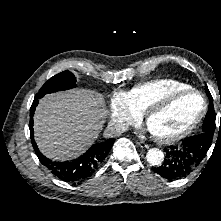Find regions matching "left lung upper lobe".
I'll use <instances>...</instances> for the list:
<instances>
[{"mask_svg":"<svg viewBox=\"0 0 221 221\" xmlns=\"http://www.w3.org/2000/svg\"><path fill=\"white\" fill-rule=\"evenodd\" d=\"M206 92L208 96L210 97L208 112L206 114V117L204 119L203 126H202L203 133L197 136H198V139L207 141L209 143V146H211V142H212L215 127H216V124H215L216 115H215V111L213 107L212 96L208 89H206Z\"/></svg>","mask_w":221,"mask_h":221,"instance_id":"obj_1","label":"left lung upper lobe"}]
</instances>
